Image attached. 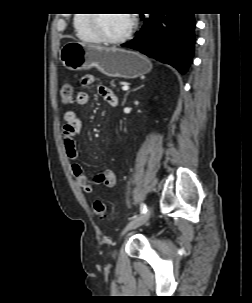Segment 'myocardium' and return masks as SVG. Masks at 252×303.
I'll list each match as a JSON object with an SVG mask.
<instances>
[{
    "label": "myocardium",
    "mask_w": 252,
    "mask_h": 303,
    "mask_svg": "<svg viewBox=\"0 0 252 303\" xmlns=\"http://www.w3.org/2000/svg\"><path fill=\"white\" fill-rule=\"evenodd\" d=\"M128 15L130 17V23L126 31L119 36L109 37L106 36L99 28V14H92L91 15L92 27L96 33L98 40L109 44H117L126 41L131 36V34L133 33L134 29L137 26L136 15L133 13H128Z\"/></svg>",
    "instance_id": "1"
}]
</instances>
